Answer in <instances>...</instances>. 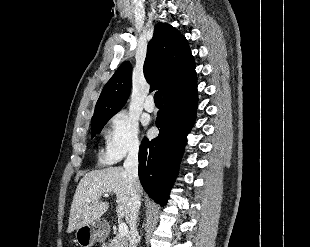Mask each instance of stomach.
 I'll return each mask as SVG.
<instances>
[{"mask_svg":"<svg viewBox=\"0 0 310 247\" xmlns=\"http://www.w3.org/2000/svg\"><path fill=\"white\" fill-rule=\"evenodd\" d=\"M106 232L107 223L104 220L97 219L77 228L75 233L76 242L80 247H92L101 240Z\"/></svg>","mask_w":310,"mask_h":247,"instance_id":"1","label":"stomach"}]
</instances>
